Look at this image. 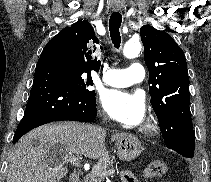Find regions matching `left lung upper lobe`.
Here are the masks:
<instances>
[{
	"mask_svg": "<svg viewBox=\"0 0 211 182\" xmlns=\"http://www.w3.org/2000/svg\"><path fill=\"white\" fill-rule=\"evenodd\" d=\"M149 71L151 104L165 145L185 157L194 156L195 134L190 115L189 77L183 50L165 31L140 29Z\"/></svg>",
	"mask_w": 211,
	"mask_h": 182,
	"instance_id": "obj_1",
	"label": "left lung upper lobe"
}]
</instances>
